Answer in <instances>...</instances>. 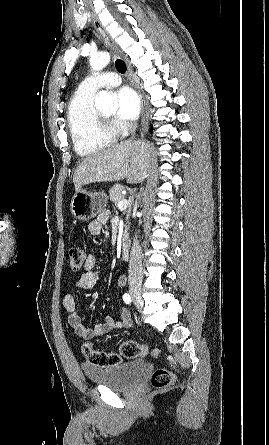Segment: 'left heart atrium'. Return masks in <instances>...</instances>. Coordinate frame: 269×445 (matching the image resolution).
<instances>
[{
  "label": "left heart atrium",
  "instance_id": "39dd6f15",
  "mask_svg": "<svg viewBox=\"0 0 269 445\" xmlns=\"http://www.w3.org/2000/svg\"><path fill=\"white\" fill-rule=\"evenodd\" d=\"M118 111L117 116L125 121L137 118L140 111V99L137 93L129 88L123 87L117 92Z\"/></svg>",
  "mask_w": 269,
  "mask_h": 445
}]
</instances>
